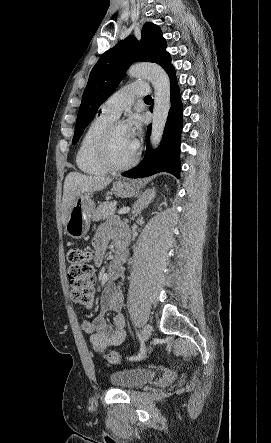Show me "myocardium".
I'll list each match as a JSON object with an SVG mask.
<instances>
[{"mask_svg":"<svg viewBox=\"0 0 271 443\" xmlns=\"http://www.w3.org/2000/svg\"><path fill=\"white\" fill-rule=\"evenodd\" d=\"M122 125H127V122L120 119L112 120L105 128L98 146V152L102 162L112 171H123L132 167L138 161L140 156V148L137 147L136 153L130 160L124 163H118L114 160L111 149L112 138L115 130Z\"/></svg>","mask_w":271,"mask_h":443,"instance_id":"obj_1","label":"myocardium"}]
</instances>
